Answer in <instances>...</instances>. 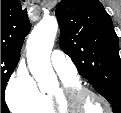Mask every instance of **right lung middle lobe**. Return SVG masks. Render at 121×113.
Instances as JSON below:
<instances>
[{"label":"right lung middle lobe","mask_w":121,"mask_h":113,"mask_svg":"<svg viewBox=\"0 0 121 113\" xmlns=\"http://www.w3.org/2000/svg\"><path fill=\"white\" fill-rule=\"evenodd\" d=\"M18 57H11L1 54V112L9 113L8 107L4 101V92L11 73L17 66Z\"/></svg>","instance_id":"dd1d6c3e"}]
</instances>
